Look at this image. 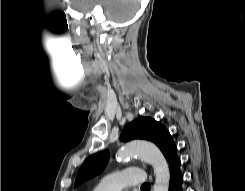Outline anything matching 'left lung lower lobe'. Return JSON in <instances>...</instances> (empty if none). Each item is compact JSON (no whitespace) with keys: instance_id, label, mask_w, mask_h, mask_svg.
Here are the masks:
<instances>
[{"instance_id":"left-lung-lower-lobe-1","label":"left lung lower lobe","mask_w":245,"mask_h":191,"mask_svg":"<svg viewBox=\"0 0 245 191\" xmlns=\"http://www.w3.org/2000/svg\"><path fill=\"white\" fill-rule=\"evenodd\" d=\"M168 165L170 171V182H169V191H183V175L181 173V162L177 155V148L173 151L169 157Z\"/></svg>"}]
</instances>
